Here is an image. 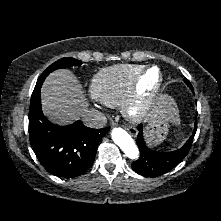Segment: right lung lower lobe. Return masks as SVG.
<instances>
[{
    "label": "right lung lower lobe",
    "mask_w": 221,
    "mask_h": 221,
    "mask_svg": "<svg viewBox=\"0 0 221 221\" xmlns=\"http://www.w3.org/2000/svg\"><path fill=\"white\" fill-rule=\"evenodd\" d=\"M41 85L32 93L29 109V138L41 165L51 174L73 178L93 164L100 140L109 128L93 129L81 121L69 126L50 123L41 110Z\"/></svg>",
    "instance_id": "1"
}]
</instances>
